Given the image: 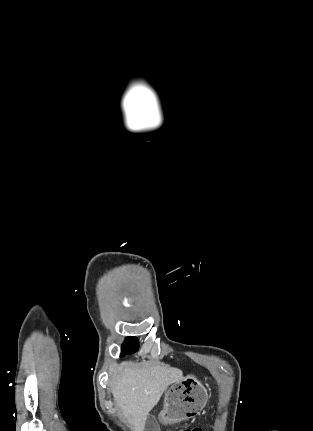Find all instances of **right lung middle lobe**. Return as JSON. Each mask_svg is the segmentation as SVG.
Listing matches in <instances>:
<instances>
[{
    "label": "right lung middle lobe",
    "instance_id": "1",
    "mask_svg": "<svg viewBox=\"0 0 313 431\" xmlns=\"http://www.w3.org/2000/svg\"><path fill=\"white\" fill-rule=\"evenodd\" d=\"M139 342L135 337H127L124 344L122 345L121 356H125L126 354L134 353L138 350Z\"/></svg>",
    "mask_w": 313,
    "mask_h": 431
}]
</instances>
